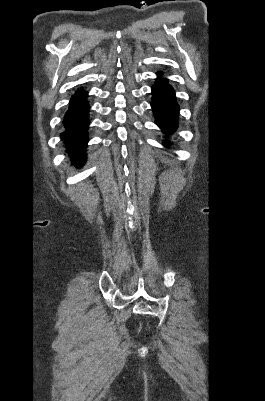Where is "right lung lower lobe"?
I'll use <instances>...</instances> for the list:
<instances>
[{
    "label": "right lung lower lobe",
    "mask_w": 265,
    "mask_h": 401,
    "mask_svg": "<svg viewBox=\"0 0 265 401\" xmlns=\"http://www.w3.org/2000/svg\"><path fill=\"white\" fill-rule=\"evenodd\" d=\"M87 92L83 89L77 91L70 100L68 111L64 115L63 126L65 131L61 133L76 167H81L86 161V144L88 141L87 130L89 125V105L86 100Z\"/></svg>",
    "instance_id": "right-lung-lower-lobe-1"
}]
</instances>
